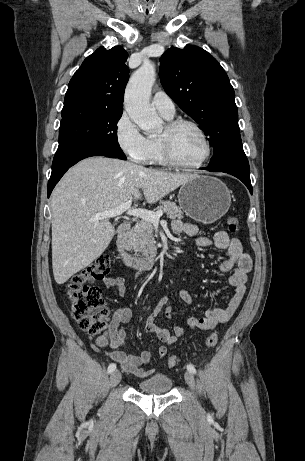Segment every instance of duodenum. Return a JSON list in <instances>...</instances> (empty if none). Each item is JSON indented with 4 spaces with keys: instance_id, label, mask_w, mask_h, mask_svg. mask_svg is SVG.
Listing matches in <instances>:
<instances>
[{
    "instance_id": "duodenum-1",
    "label": "duodenum",
    "mask_w": 305,
    "mask_h": 461,
    "mask_svg": "<svg viewBox=\"0 0 305 461\" xmlns=\"http://www.w3.org/2000/svg\"><path fill=\"white\" fill-rule=\"evenodd\" d=\"M130 232V224L123 223L116 235L115 245L118 251L119 262L124 266L133 269L150 270L156 265L157 251H151L143 256H133L124 251L127 238Z\"/></svg>"
}]
</instances>
